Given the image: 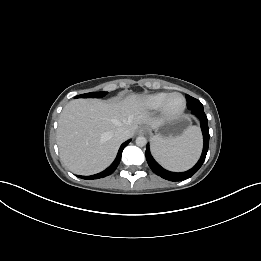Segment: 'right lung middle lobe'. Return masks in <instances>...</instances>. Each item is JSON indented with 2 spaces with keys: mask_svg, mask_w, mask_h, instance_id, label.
Here are the masks:
<instances>
[{
  "mask_svg": "<svg viewBox=\"0 0 261 261\" xmlns=\"http://www.w3.org/2000/svg\"><path fill=\"white\" fill-rule=\"evenodd\" d=\"M106 94V92H91V93H87V94H82L79 96H76V98H99V97H103Z\"/></svg>",
  "mask_w": 261,
  "mask_h": 261,
  "instance_id": "right-lung-middle-lobe-1",
  "label": "right lung middle lobe"
}]
</instances>
